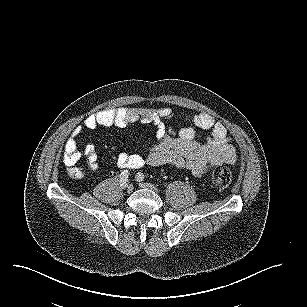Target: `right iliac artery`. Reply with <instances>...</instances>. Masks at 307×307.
Masks as SVG:
<instances>
[{"mask_svg":"<svg viewBox=\"0 0 307 307\" xmlns=\"http://www.w3.org/2000/svg\"><path fill=\"white\" fill-rule=\"evenodd\" d=\"M128 177H129L128 171H127V170H124V171L120 174V186L125 187V186L127 185Z\"/></svg>","mask_w":307,"mask_h":307,"instance_id":"right-iliac-artery-1","label":"right iliac artery"}]
</instances>
